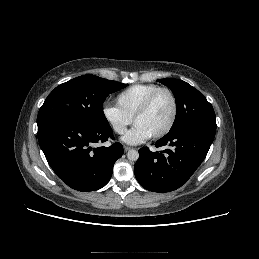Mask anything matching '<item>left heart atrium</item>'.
I'll return each instance as SVG.
<instances>
[{
	"label": "left heart atrium",
	"mask_w": 259,
	"mask_h": 259,
	"mask_svg": "<svg viewBox=\"0 0 259 259\" xmlns=\"http://www.w3.org/2000/svg\"><path fill=\"white\" fill-rule=\"evenodd\" d=\"M150 137L151 135L146 130L138 125H135L122 137V140L127 144L136 145L143 143Z\"/></svg>",
	"instance_id": "1"
}]
</instances>
